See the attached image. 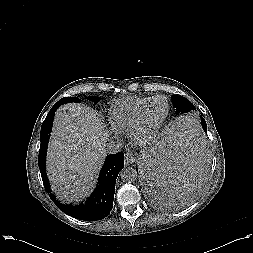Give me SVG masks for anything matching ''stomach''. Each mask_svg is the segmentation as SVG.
Returning a JSON list of instances; mask_svg holds the SVG:
<instances>
[{
	"instance_id": "obj_1",
	"label": "stomach",
	"mask_w": 253,
	"mask_h": 253,
	"mask_svg": "<svg viewBox=\"0 0 253 253\" xmlns=\"http://www.w3.org/2000/svg\"><path fill=\"white\" fill-rule=\"evenodd\" d=\"M149 156H150V155H149ZM149 156H148V157H149ZM148 157L144 158L143 161H142V163H141V171H142V172H144V165H145V162H146V160L148 159Z\"/></svg>"
}]
</instances>
